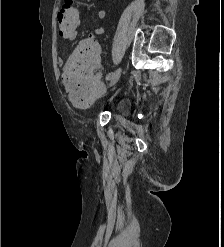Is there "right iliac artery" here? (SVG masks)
Wrapping results in <instances>:
<instances>
[{
    "instance_id": "1",
    "label": "right iliac artery",
    "mask_w": 224,
    "mask_h": 247,
    "mask_svg": "<svg viewBox=\"0 0 224 247\" xmlns=\"http://www.w3.org/2000/svg\"><path fill=\"white\" fill-rule=\"evenodd\" d=\"M112 75H113V72H112V73H109V74L106 76V80H110L111 77H112Z\"/></svg>"
}]
</instances>
